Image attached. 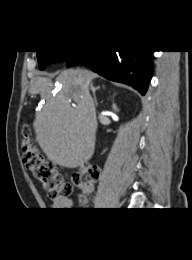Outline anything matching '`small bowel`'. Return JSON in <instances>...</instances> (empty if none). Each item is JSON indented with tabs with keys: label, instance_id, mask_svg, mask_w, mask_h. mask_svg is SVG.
<instances>
[{
	"label": "small bowel",
	"instance_id": "1",
	"mask_svg": "<svg viewBox=\"0 0 192 260\" xmlns=\"http://www.w3.org/2000/svg\"><path fill=\"white\" fill-rule=\"evenodd\" d=\"M73 207V200L69 198L61 200H53L51 204L52 210H70Z\"/></svg>",
	"mask_w": 192,
	"mask_h": 260
}]
</instances>
